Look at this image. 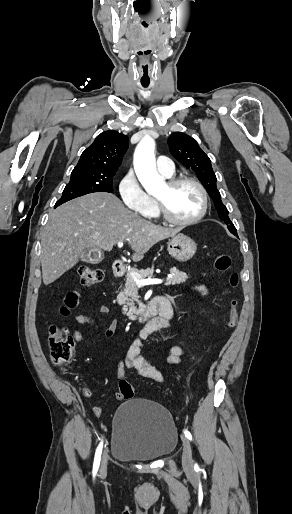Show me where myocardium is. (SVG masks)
<instances>
[{
  "mask_svg": "<svg viewBox=\"0 0 292 514\" xmlns=\"http://www.w3.org/2000/svg\"><path fill=\"white\" fill-rule=\"evenodd\" d=\"M184 184H189V185H192L193 187H195L200 196L199 211L197 212V214L195 216H193L190 219L179 220V219L172 217L169 214L165 204L161 200L154 198V202H155V205H156V208H157L159 214L162 216V218L166 222L173 224V225H178V226L192 225V224L198 222L206 213L207 193H206V190L204 189V187L198 181H196L192 178H189V177H178V178H174L167 182V186L171 189L179 187Z\"/></svg>",
  "mask_w": 292,
  "mask_h": 514,
  "instance_id": "obj_1",
  "label": "myocardium"
}]
</instances>
